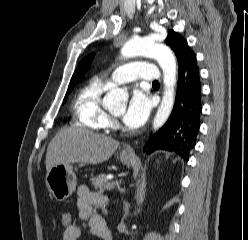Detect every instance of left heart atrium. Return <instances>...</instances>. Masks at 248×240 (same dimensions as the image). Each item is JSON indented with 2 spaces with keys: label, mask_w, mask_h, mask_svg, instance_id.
<instances>
[{
  "label": "left heart atrium",
  "mask_w": 248,
  "mask_h": 240,
  "mask_svg": "<svg viewBox=\"0 0 248 240\" xmlns=\"http://www.w3.org/2000/svg\"><path fill=\"white\" fill-rule=\"evenodd\" d=\"M151 109V101L141 88L133 89L128 106L123 114V122L130 128L141 126L147 119Z\"/></svg>",
  "instance_id": "1"
}]
</instances>
